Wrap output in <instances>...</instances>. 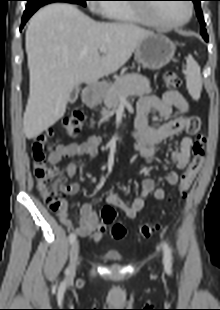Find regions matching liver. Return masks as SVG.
<instances>
[{
  "instance_id": "liver-1",
  "label": "liver",
  "mask_w": 220,
  "mask_h": 310,
  "mask_svg": "<svg viewBox=\"0 0 220 310\" xmlns=\"http://www.w3.org/2000/svg\"><path fill=\"white\" fill-rule=\"evenodd\" d=\"M153 32L128 23L96 22L77 7L54 3L40 9L26 31L30 88L24 113L28 139L61 119L74 87L118 71ZM107 52L100 57V48Z\"/></svg>"
}]
</instances>
